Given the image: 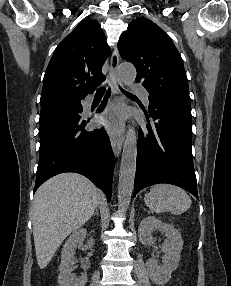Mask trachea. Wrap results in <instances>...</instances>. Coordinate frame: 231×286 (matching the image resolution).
Returning <instances> with one entry per match:
<instances>
[{
	"mask_svg": "<svg viewBox=\"0 0 231 286\" xmlns=\"http://www.w3.org/2000/svg\"><path fill=\"white\" fill-rule=\"evenodd\" d=\"M120 89H121V91H122L125 95H131V96H132L131 93L125 91V90L122 89L121 87H120ZM104 92H105V88L101 87V88H99V89L96 91V95H102V94H104Z\"/></svg>",
	"mask_w": 231,
	"mask_h": 286,
	"instance_id": "trachea-1",
	"label": "trachea"
}]
</instances>
